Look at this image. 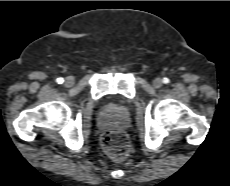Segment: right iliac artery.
Wrapping results in <instances>:
<instances>
[{"instance_id":"right-iliac-artery-1","label":"right iliac artery","mask_w":230,"mask_h":186,"mask_svg":"<svg viewBox=\"0 0 230 186\" xmlns=\"http://www.w3.org/2000/svg\"><path fill=\"white\" fill-rule=\"evenodd\" d=\"M63 82H64L63 78H58V79H57V83H58V84H62Z\"/></svg>"}]
</instances>
